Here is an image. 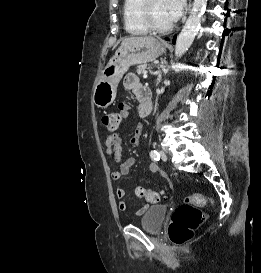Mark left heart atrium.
Listing matches in <instances>:
<instances>
[{
  "instance_id": "1",
  "label": "left heart atrium",
  "mask_w": 261,
  "mask_h": 273,
  "mask_svg": "<svg viewBox=\"0 0 261 273\" xmlns=\"http://www.w3.org/2000/svg\"><path fill=\"white\" fill-rule=\"evenodd\" d=\"M185 0H167L172 20H177L183 13Z\"/></svg>"
}]
</instances>
